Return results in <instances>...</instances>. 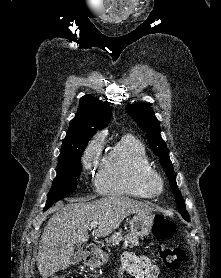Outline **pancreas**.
<instances>
[{
    "instance_id": "obj_1",
    "label": "pancreas",
    "mask_w": 221,
    "mask_h": 278,
    "mask_svg": "<svg viewBox=\"0 0 221 278\" xmlns=\"http://www.w3.org/2000/svg\"><path fill=\"white\" fill-rule=\"evenodd\" d=\"M123 241V247L126 248L127 246H136L138 245V238L135 236H129V237H123L120 233H116L106 239V242L108 243V246H116L119 245V243Z\"/></svg>"
}]
</instances>
